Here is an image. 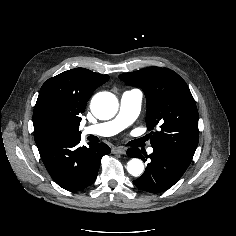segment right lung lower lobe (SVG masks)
Here are the masks:
<instances>
[{
    "instance_id": "obj_1",
    "label": "right lung lower lobe",
    "mask_w": 236,
    "mask_h": 236,
    "mask_svg": "<svg viewBox=\"0 0 236 236\" xmlns=\"http://www.w3.org/2000/svg\"><path fill=\"white\" fill-rule=\"evenodd\" d=\"M80 139L81 136L58 137L37 145L52 179L71 192L90 186L97 177L102 157L110 153L104 143L80 147Z\"/></svg>"
}]
</instances>
